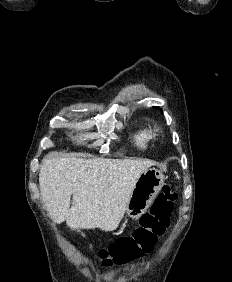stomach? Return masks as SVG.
<instances>
[{
    "instance_id": "obj_1",
    "label": "stomach",
    "mask_w": 232,
    "mask_h": 282,
    "mask_svg": "<svg viewBox=\"0 0 232 282\" xmlns=\"http://www.w3.org/2000/svg\"><path fill=\"white\" fill-rule=\"evenodd\" d=\"M165 176L156 168H148L137 179L126 208L129 218L144 214L164 185Z\"/></svg>"
}]
</instances>
